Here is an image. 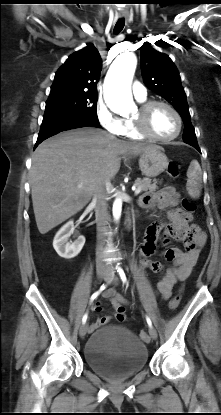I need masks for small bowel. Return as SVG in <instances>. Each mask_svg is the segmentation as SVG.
<instances>
[{
	"mask_svg": "<svg viewBox=\"0 0 221 415\" xmlns=\"http://www.w3.org/2000/svg\"><path fill=\"white\" fill-rule=\"evenodd\" d=\"M178 204L179 194L173 187H165L161 190L147 193L140 199L142 207L149 209L158 208L166 211L170 221L166 225L157 222L149 226L140 246V265L154 272L164 270L162 263L149 259L155 252L159 238L163 246H167L170 241L176 240L181 241L186 249L183 251L178 248H169L165 252L166 260L172 262L173 265L165 270L162 279L156 285V292L164 299L170 297L172 289L177 282L183 281L188 277L198 260L206 240L205 235L196 226L188 225L192 220L190 210L187 207H178ZM103 297L109 300L113 314L98 317L90 325L92 330L105 325L112 319L118 321L125 319L126 300L114 289L106 290ZM94 310L101 311V303H97Z\"/></svg>",
	"mask_w": 221,
	"mask_h": 415,
	"instance_id": "small-bowel-1",
	"label": "small bowel"
}]
</instances>
